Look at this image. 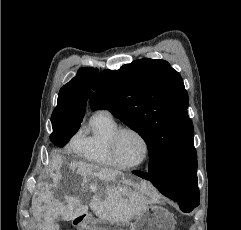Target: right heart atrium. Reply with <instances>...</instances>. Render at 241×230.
Segmentation results:
<instances>
[{"label": "right heart atrium", "mask_w": 241, "mask_h": 230, "mask_svg": "<svg viewBox=\"0 0 241 230\" xmlns=\"http://www.w3.org/2000/svg\"><path fill=\"white\" fill-rule=\"evenodd\" d=\"M82 142V135L78 132L76 133L69 142V147L73 150H77Z\"/></svg>", "instance_id": "1"}]
</instances>
